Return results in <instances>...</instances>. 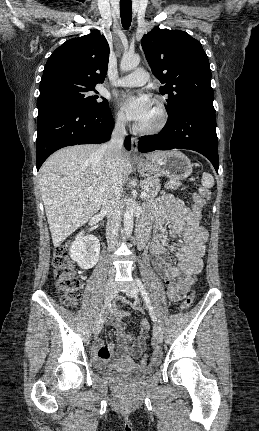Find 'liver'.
<instances>
[{
    "instance_id": "obj_1",
    "label": "liver",
    "mask_w": 259,
    "mask_h": 431,
    "mask_svg": "<svg viewBox=\"0 0 259 431\" xmlns=\"http://www.w3.org/2000/svg\"><path fill=\"white\" fill-rule=\"evenodd\" d=\"M164 153H148L146 158L153 161ZM119 171L123 184L132 172L125 151ZM108 183L105 156L98 145L65 147L45 161L39 186L55 248L100 210Z\"/></svg>"
}]
</instances>
